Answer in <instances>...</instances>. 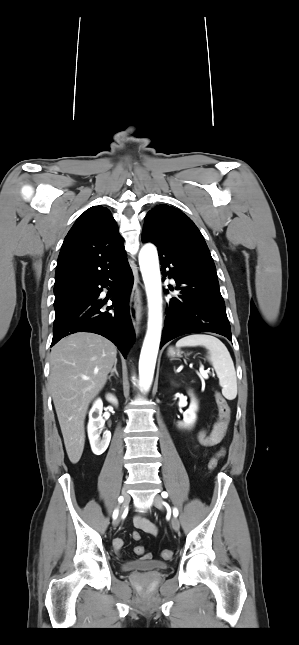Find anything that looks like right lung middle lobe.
Returning a JSON list of instances; mask_svg holds the SVG:
<instances>
[{"label":"right lung middle lobe","mask_w":299,"mask_h":645,"mask_svg":"<svg viewBox=\"0 0 299 645\" xmlns=\"http://www.w3.org/2000/svg\"><path fill=\"white\" fill-rule=\"evenodd\" d=\"M83 285L71 286L68 288L54 291L55 301L54 308L56 313L65 308L69 303L81 296Z\"/></svg>","instance_id":"dd1d6c3e"}]
</instances>
